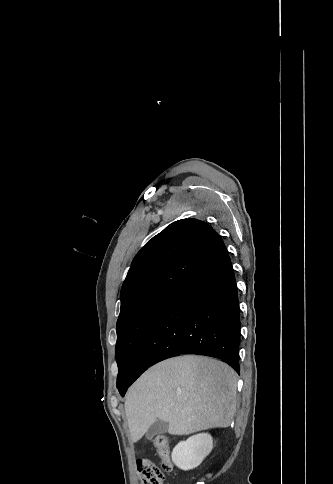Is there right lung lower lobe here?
<instances>
[{
    "label": "right lung lower lobe",
    "instance_id": "98d812e1",
    "mask_svg": "<svg viewBox=\"0 0 333 484\" xmlns=\"http://www.w3.org/2000/svg\"><path fill=\"white\" fill-rule=\"evenodd\" d=\"M239 311L227 253L169 297L137 347L120 394L148 367L180 354L219 358L239 373Z\"/></svg>",
    "mask_w": 333,
    "mask_h": 484
}]
</instances>
